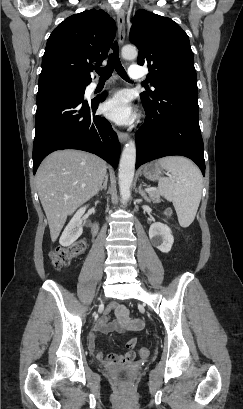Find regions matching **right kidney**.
Returning <instances> with one entry per match:
<instances>
[{"label":"right kidney","instance_id":"obj_1","mask_svg":"<svg viewBox=\"0 0 243 409\" xmlns=\"http://www.w3.org/2000/svg\"><path fill=\"white\" fill-rule=\"evenodd\" d=\"M86 206L80 208L72 217L66 228L64 229L59 243L64 246H70L73 244L83 233L82 228V216L86 211Z\"/></svg>","mask_w":243,"mask_h":409}]
</instances>
